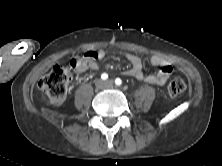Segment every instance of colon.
<instances>
[{
    "label": "colon",
    "instance_id": "obj_1",
    "mask_svg": "<svg viewBox=\"0 0 222 166\" xmlns=\"http://www.w3.org/2000/svg\"><path fill=\"white\" fill-rule=\"evenodd\" d=\"M70 71L62 65L55 66L49 74L42 77L38 83L39 88L49 98L52 104L61 105L65 102L68 93V82ZM186 89V83L179 77H173L168 84V91L171 95L177 96Z\"/></svg>",
    "mask_w": 222,
    "mask_h": 166
}]
</instances>
